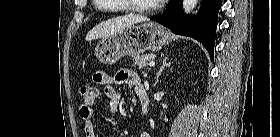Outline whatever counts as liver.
<instances>
[{
    "label": "liver",
    "instance_id": "liver-1",
    "mask_svg": "<svg viewBox=\"0 0 280 137\" xmlns=\"http://www.w3.org/2000/svg\"><path fill=\"white\" fill-rule=\"evenodd\" d=\"M149 22V19L136 14H128L103 21L93 27L86 35L85 40H94L98 38L110 37L136 23Z\"/></svg>",
    "mask_w": 280,
    "mask_h": 137
}]
</instances>
